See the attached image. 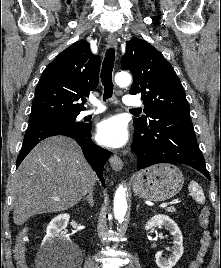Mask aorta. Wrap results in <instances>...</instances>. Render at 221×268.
Instances as JSON below:
<instances>
[{
	"label": "aorta",
	"mask_w": 221,
	"mask_h": 268,
	"mask_svg": "<svg viewBox=\"0 0 221 268\" xmlns=\"http://www.w3.org/2000/svg\"><path fill=\"white\" fill-rule=\"evenodd\" d=\"M132 77L129 73L120 72L115 75V82L120 87L130 85ZM127 211L126 188L120 185L114 196V216L119 223H122Z\"/></svg>",
	"instance_id": "aorta-1"
}]
</instances>
